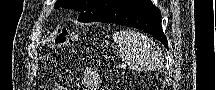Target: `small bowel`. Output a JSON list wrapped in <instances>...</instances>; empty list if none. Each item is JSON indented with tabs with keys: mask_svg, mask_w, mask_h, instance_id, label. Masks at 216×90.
Returning <instances> with one entry per match:
<instances>
[{
	"mask_svg": "<svg viewBox=\"0 0 216 90\" xmlns=\"http://www.w3.org/2000/svg\"><path fill=\"white\" fill-rule=\"evenodd\" d=\"M100 83L99 75L92 70H87L81 82V90H97ZM53 90H69L67 86L60 85Z\"/></svg>",
	"mask_w": 216,
	"mask_h": 90,
	"instance_id": "small-bowel-1",
	"label": "small bowel"
}]
</instances>
